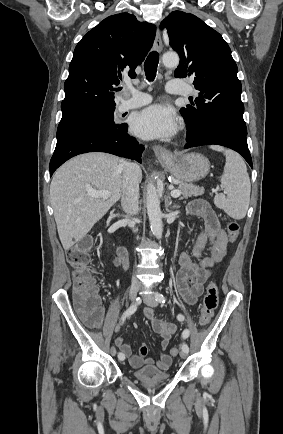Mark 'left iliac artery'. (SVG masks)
<instances>
[{"mask_svg":"<svg viewBox=\"0 0 283 434\" xmlns=\"http://www.w3.org/2000/svg\"><path fill=\"white\" fill-rule=\"evenodd\" d=\"M155 298H156V300H157L158 302H160V303H165V301H166V298H165L162 294H160V293H156V294H155ZM177 319H178L179 321H183L185 318H184V316H183L182 314H178V315H177ZM188 336H189V330H188V329H185V330L182 332V337H183V339H186ZM182 350H183V351H186V352L189 351V347H188V345H187L186 343H183V344H182Z\"/></svg>","mask_w":283,"mask_h":434,"instance_id":"44dca946","label":"left iliac artery"}]
</instances>
